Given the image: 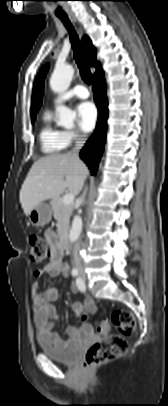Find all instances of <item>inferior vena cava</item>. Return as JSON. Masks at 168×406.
<instances>
[{"instance_id": "602c4592", "label": "inferior vena cava", "mask_w": 168, "mask_h": 406, "mask_svg": "<svg viewBox=\"0 0 168 406\" xmlns=\"http://www.w3.org/2000/svg\"><path fill=\"white\" fill-rule=\"evenodd\" d=\"M85 140H86V138L84 136H79L75 142L76 143L75 147L69 152V154H71L74 158H76L77 161H80L79 151L84 146ZM86 192H87V188H85L83 194L80 196V198H79L80 202H83ZM79 249H80V242H76L74 245L73 254H74L75 265L78 268L81 267V258L79 256Z\"/></svg>"}]
</instances>
